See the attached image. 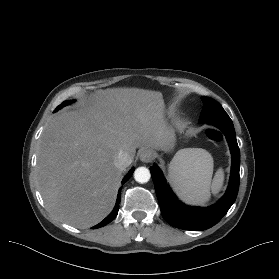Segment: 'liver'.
I'll return each mask as SVG.
<instances>
[{
  "mask_svg": "<svg viewBox=\"0 0 279 279\" xmlns=\"http://www.w3.org/2000/svg\"><path fill=\"white\" fill-rule=\"evenodd\" d=\"M174 132L165 117L162 94L138 88L99 92L78 110L55 115L40 138L36 176L47 210L84 229L112 210L122 170L120 152L168 150Z\"/></svg>",
  "mask_w": 279,
  "mask_h": 279,
  "instance_id": "6515ba94",
  "label": "liver"
}]
</instances>
